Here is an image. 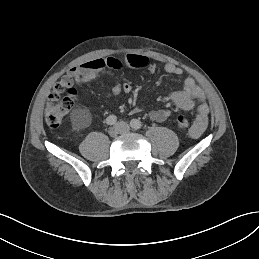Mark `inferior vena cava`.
<instances>
[{"label":"inferior vena cava","mask_w":259,"mask_h":259,"mask_svg":"<svg viewBox=\"0 0 259 259\" xmlns=\"http://www.w3.org/2000/svg\"><path fill=\"white\" fill-rule=\"evenodd\" d=\"M124 126L126 127V129L128 130V125L127 124H124Z\"/></svg>","instance_id":"602c4592"}]
</instances>
